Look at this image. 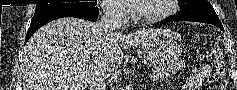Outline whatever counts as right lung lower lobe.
Listing matches in <instances>:
<instances>
[{"label":"right lung lower lobe","mask_w":237,"mask_h":90,"mask_svg":"<svg viewBox=\"0 0 237 90\" xmlns=\"http://www.w3.org/2000/svg\"><path fill=\"white\" fill-rule=\"evenodd\" d=\"M62 17H76L89 21H96L98 18V8L95 6L93 8L89 7H70L62 8L53 12L45 13L42 15L34 16L31 20L30 27L28 29L25 43L29 38L43 25L46 23L62 18Z\"/></svg>","instance_id":"obj_1"}]
</instances>
